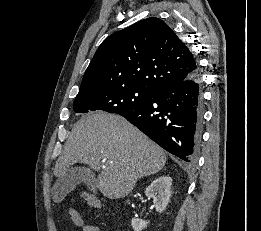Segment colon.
Returning <instances> with one entry per match:
<instances>
[{"label":"colon","instance_id":"colon-1","mask_svg":"<svg viewBox=\"0 0 261 231\" xmlns=\"http://www.w3.org/2000/svg\"><path fill=\"white\" fill-rule=\"evenodd\" d=\"M85 202L88 205H90L91 207L96 208V209H101L104 207V205L101 202H99L97 199H95L94 197H91V196H86Z\"/></svg>","mask_w":261,"mask_h":231}]
</instances>
